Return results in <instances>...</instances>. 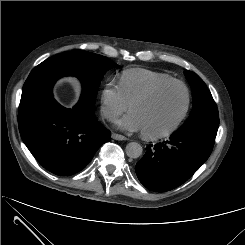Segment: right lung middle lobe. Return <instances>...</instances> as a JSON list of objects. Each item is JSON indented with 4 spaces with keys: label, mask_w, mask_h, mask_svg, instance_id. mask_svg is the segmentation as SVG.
<instances>
[{
    "label": "right lung middle lobe",
    "mask_w": 245,
    "mask_h": 245,
    "mask_svg": "<svg viewBox=\"0 0 245 245\" xmlns=\"http://www.w3.org/2000/svg\"><path fill=\"white\" fill-rule=\"evenodd\" d=\"M49 59L54 68L61 70L64 74L74 75L81 80L83 92L78 106L85 111L93 110L98 88L104 74L109 69L117 66L107 57L82 50L61 53ZM50 99H52V91L36 88L27 78L22 90L19 115L32 112Z\"/></svg>",
    "instance_id": "obj_1"
}]
</instances>
